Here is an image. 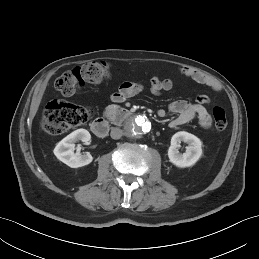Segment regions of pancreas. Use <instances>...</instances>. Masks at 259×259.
Wrapping results in <instances>:
<instances>
[{
	"mask_svg": "<svg viewBox=\"0 0 259 259\" xmlns=\"http://www.w3.org/2000/svg\"><path fill=\"white\" fill-rule=\"evenodd\" d=\"M117 113V109L115 107H108L106 110V115L111 117V115H114Z\"/></svg>",
	"mask_w": 259,
	"mask_h": 259,
	"instance_id": "cf45deb5",
	"label": "pancreas"
}]
</instances>
